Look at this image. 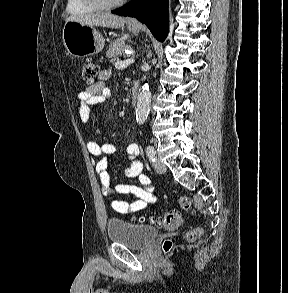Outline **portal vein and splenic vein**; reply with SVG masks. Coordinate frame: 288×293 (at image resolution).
Wrapping results in <instances>:
<instances>
[{"mask_svg": "<svg viewBox=\"0 0 288 293\" xmlns=\"http://www.w3.org/2000/svg\"><path fill=\"white\" fill-rule=\"evenodd\" d=\"M133 62H134L133 58L127 59V60H124V61H117L115 63V68L120 69V68H123V67H126V66L132 64Z\"/></svg>", "mask_w": 288, "mask_h": 293, "instance_id": "1", "label": "portal vein and splenic vein"}]
</instances>
